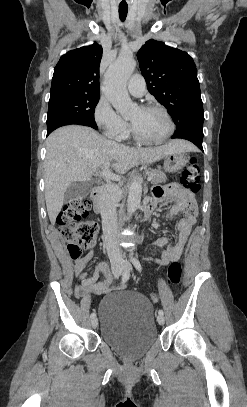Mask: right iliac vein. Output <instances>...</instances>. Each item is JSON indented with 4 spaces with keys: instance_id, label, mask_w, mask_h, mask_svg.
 <instances>
[{
    "instance_id": "obj_1",
    "label": "right iliac vein",
    "mask_w": 247,
    "mask_h": 407,
    "mask_svg": "<svg viewBox=\"0 0 247 407\" xmlns=\"http://www.w3.org/2000/svg\"><path fill=\"white\" fill-rule=\"evenodd\" d=\"M123 271V266L119 264H115L112 266V272L115 277H118ZM91 325L93 328H96L98 325V320L96 318L92 319Z\"/></svg>"
}]
</instances>
